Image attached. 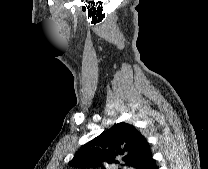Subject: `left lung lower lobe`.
<instances>
[{"label":"left lung lower lobe","instance_id":"left-lung-lower-lobe-1","mask_svg":"<svg viewBox=\"0 0 208 169\" xmlns=\"http://www.w3.org/2000/svg\"><path fill=\"white\" fill-rule=\"evenodd\" d=\"M139 169H158L155 160L152 158L151 150H149L144 156Z\"/></svg>","mask_w":208,"mask_h":169}]
</instances>
